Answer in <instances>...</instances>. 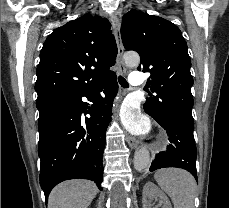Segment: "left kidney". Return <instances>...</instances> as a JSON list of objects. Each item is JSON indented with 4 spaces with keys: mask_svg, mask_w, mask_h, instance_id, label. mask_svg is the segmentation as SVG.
Masks as SVG:
<instances>
[{
    "mask_svg": "<svg viewBox=\"0 0 229 208\" xmlns=\"http://www.w3.org/2000/svg\"><path fill=\"white\" fill-rule=\"evenodd\" d=\"M153 200H159L162 208H172L166 194L161 192L153 182H147L143 190V208H151Z\"/></svg>",
    "mask_w": 229,
    "mask_h": 208,
    "instance_id": "5707ae66",
    "label": "left kidney"
}]
</instances>
